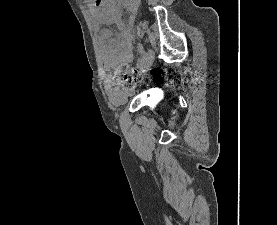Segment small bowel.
Instances as JSON below:
<instances>
[{
	"mask_svg": "<svg viewBox=\"0 0 277 225\" xmlns=\"http://www.w3.org/2000/svg\"><path fill=\"white\" fill-rule=\"evenodd\" d=\"M139 0H104L89 4L94 27L98 30V42L105 65L104 88L109 99L118 103L124 100L126 90L116 85L112 72L121 63H130L133 56L130 51L131 22L137 13ZM102 7V9H100ZM120 7L129 13V23L120 17ZM114 24L115 29L100 28Z\"/></svg>",
	"mask_w": 277,
	"mask_h": 225,
	"instance_id": "1",
	"label": "small bowel"
}]
</instances>
